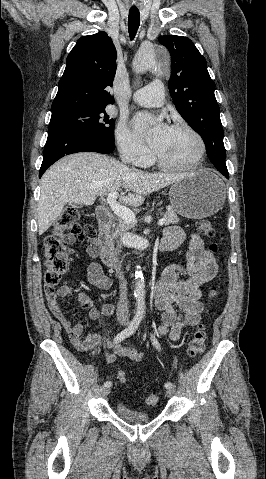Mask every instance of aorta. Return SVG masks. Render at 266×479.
I'll return each mask as SVG.
<instances>
[{
    "label": "aorta",
    "instance_id": "1",
    "mask_svg": "<svg viewBox=\"0 0 266 479\" xmlns=\"http://www.w3.org/2000/svg\"><path fill=\"white\" fill-rule=\"evenodd\" d=\"M165 63V58L161 50L152 46L139 50L133 60V69L136 73H144L154 68L159 69ZM135 289L136 309L138 314L145 313V280L140 266L135 270Z\"/></svg>",
    "mask_w": 266,
    "mask_h": 479
}]
</instances>
